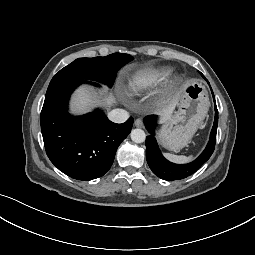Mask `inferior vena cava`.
Segmentation results:
<instances>
[{
  "label": "inferior vena cava",
  "instance_id": "602c4592",
  "mask_svg": "<svg viewBox=\"0 0 255 255\" xmlns=\"http://www.w3.org/2000/svg\"><path fill=\"white\" fill-rule=\"evenodd\" d=\"M108 118L114 123H123L128 120L129 113L123 109H114L109 112Z\"/></svg>",
  "mask_w": 255,
  "mask_h": 255
}]
</instances>
